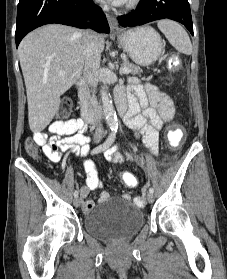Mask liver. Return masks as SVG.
<instances>
[{"label":"liver","instance_id":"6515ba94","mask_svg":"<svg viewBox=\"0 0 227 279\" xmlns=\"http://www.w3.org/2000/svg\"><path fill=\"white\" fill-rule=\"evenodd\" d=\"M94 36L102 52L104 37L96 33ZM85 42L84 31L59 24L40 27L21 41L18 54L32 132L46 128L59 110L60 96L80 79L85 64Z\"/></svg>","mask_w":227,"mask_h":279}]
</instances>
